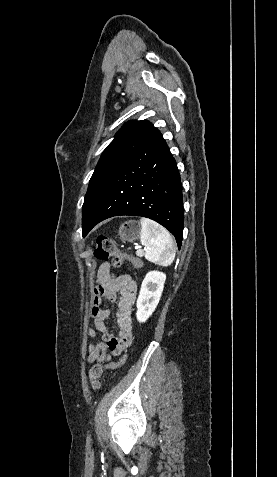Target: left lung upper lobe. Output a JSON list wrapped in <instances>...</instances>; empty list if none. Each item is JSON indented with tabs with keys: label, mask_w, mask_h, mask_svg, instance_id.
Instances as JSON below:
<instances>
[{
	"label": "left lung upper lobe",
	"mask_w": 277,
	"mask_h": 477,
	"mask_svg": "<svg viewBox=\"0 0 277 477\" xmlns=\"http://www.w3.org/2000/svg\"><path fill=\"white\" fill-rule=\"evenodd\" d=\"M159 133L147 120L130 121L118 131L103 151L90 179L82 208V225L90 220L113 175L135 152Z\"/></svg>",
	"instance_id": "5c2ea615"
}]
</instances>
